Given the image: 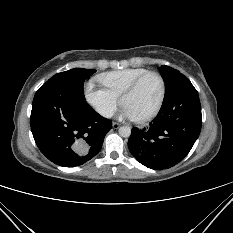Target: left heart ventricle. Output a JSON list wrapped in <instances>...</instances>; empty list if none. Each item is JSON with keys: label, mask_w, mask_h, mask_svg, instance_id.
Masks as SVG:
<instances>
[{"label": "left heart ventricle", "mask_w": 233, "mask_h": 233, "mask_svg": "<svg viewBox=\"0 0 233 233\" xmlns=\"http://www.w3.org/2000/svg\"><path fill=\"white\" fill-rule=\"evenodd\" d=\"M160 96L161 82L156 76H150L134 93L126 96L122 104L131 110L135 118H139L154 110Z\"/></svg>", "instance_id": "obj_1"}]
</instances>
